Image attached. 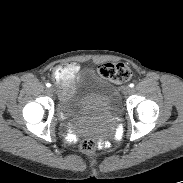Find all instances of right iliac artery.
Returning a JSON list of instances; mask_svg holds the SVG:
<instances>
[{
    "label": "right iliac artery",
    "instance_id": "1",
    "mask_svg": "<svg viewBox=\"0 0 183 183\" xmlns=\"http://www.w3.org/2000/svg\"><path fill=\"white\" fill-rule=\"evenodd\" d=\"M46 86H47V87H50V86H51V84H50V83H47V84H46Z\"/></svg>",
    "mask_w": 183,
    "mask_h": 183
}]
</instances>
